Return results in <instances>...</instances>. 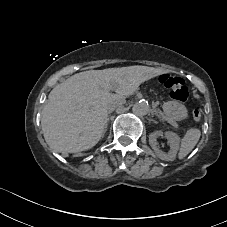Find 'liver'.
Listing matches in <instances>:
<instances>
[{
  "label": "liver",
  "instance_id": "liver-1",
  "mask_svg": "<svg viewBox=\"0 0 227 227\" xmlns=\"http://www.w3.org/2000/svg\"><path fill=\"white\" fill-rule=\"evenodd\" d=\"M160 69L129 66L89 70L74 74L55 86L42 109L41 126L46 143L54 152L75 153L95 146L107 121L109 90L127 95L159 74ZM125 87V89H123Z\"/></svg>",
  "mask_w": 227,
  "mask_h": 227
}]
</instances>
